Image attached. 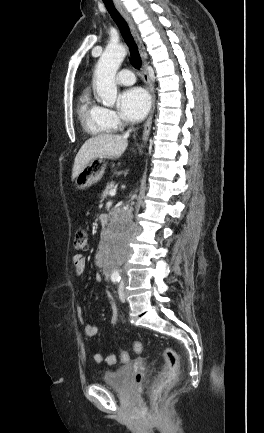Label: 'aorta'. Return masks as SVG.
I'll list each match as a JSON object with an SVG mask.
<instances>
[{"label": "aorta", "instance_id": "762f6f07", "mask_svg": "<svg viewBox=\"0 0 264 433\" xmlns=\"http://www.w3.org/2000/svg\"><path fill=\"white\" fill-rule=\"evenodd\" d=\"M125 56L126 49L123 46L107 47L98 60L95 71V86L104 106L112 107L116 102L115 75ZM119 276L120 272L116 266L113 269L112 277L117 278Z\"/></svg>", "mask_w": 264, "mask_h": 433}]
</instances>
